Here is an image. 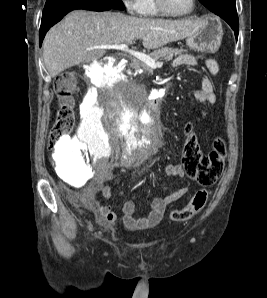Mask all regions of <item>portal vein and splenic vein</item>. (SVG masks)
I'll list each match as a JSON object with an SVG mask.
<instances>
[{"mask_svg": "<svg viewBox=\"0 0 267 298\" xmlns=\"http://www.w3.org/2000/svg\"><path fill=\"white\" fill-rule=\"evenodd\" d=\"M94 49H105V50L106 49H114V50L128 52V53L134 55L136 58H138L142 62H144L146 65H148L152 69L161 67L163 64L162 62H156V60H154L149 55H146V54L138 52V51L130 50L128 48V45H126V44H109V45H100V46L88 48V50H94Z\"/></svg>", "mask_w": 267, "mask_h": 298, "instance_id": "portal-vein-and-splenic-vein-1", "label": "portal vein and splenic vein"}]
</instances>
